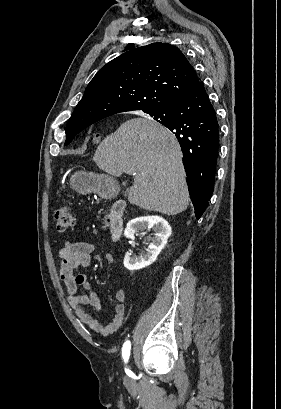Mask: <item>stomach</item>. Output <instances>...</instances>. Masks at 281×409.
<instances>
[{
  "label": "stomach",
  "instance_id": "1",
  "mask_svg": "<svg viewBox=\"0 0 281 409\" xmlns=\"http://www.w3.org/2000/svg\"><path fill=\"white\" fill-rule=\"evenodd\" d=\"M70 186L80 194L96 192L101 198H114L120 192V184L112 176L85 172V170H78L71 174Z\"/></svg>",
  "mask_w": 281,
  "mask_h": 409
}]
</instances>
